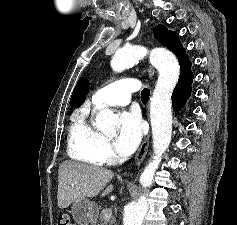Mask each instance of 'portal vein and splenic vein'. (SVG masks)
Returning a JSON list of instances; mask_svg holds the SVG:
<instances>
[{
	"label": "portal vein and splenic vein",
	"mask_w": 237,
	"mask_h": 225,
	"mask_svg": "<svg viewBox=\"0 0 237 225\" xmlns=\"http://www.w3.org/2000/svg\"><path fill=\"white\" fill-rule=\"evenodd\" d=\"M103 215H104V217L105 218H111V216H112V211H111V209H104L103 210Z\"/></svg>",
	"instance_id": "obj_1"
}]
</instances>
